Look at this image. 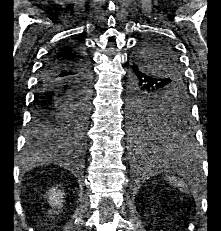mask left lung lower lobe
Returning a JSON list of instances; mask_svg holds the SVG:
<instances>
[{
  "mask_svg": "<svg viewBox=\"0 0 221 231\" xmlns=\"http://www.w3.org/2000/svg\"><path fill=\"white\" fill-rule=\"evenodd\" d=\"M130 85V103H129V121L130 116L135 117L144 109L146 98L149 94L160 91L162 83L158 78L149 74L145 68L136 62H133L129 74ZM188 121L174 125L180 129L179 136L173 135H155L153 138H137L133 133L134 144L142 151H147L150 160L153 163H159V154L166 151L170 154L168 164L177 168H184L189 157L194 153V140L191 131L188 128Z\"/></svg>",
  "mask_w": 221,
  "mask_h": 231,
  "instance_id": "0a47b994",
  "label": "left lung lower lobe"
}]
</instances>
